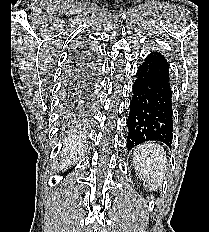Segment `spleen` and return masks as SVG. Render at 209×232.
<instances>
[{"mask_svg": "<svg viewBox=\"0 0 209 232\" xmlns=\"http://www.w3.org/2000/svg\"><path fill=\"white\" fill-rule=\"evenodd\" d=\"M167 156L164 148L154 142L143 143L134 150L135 171L152 189L165 180Z\"/></svg>", "mask_w": 209, "mask_h": 232, "instance_id": "spleen-1", "label": "spleen"}]
</instances>
